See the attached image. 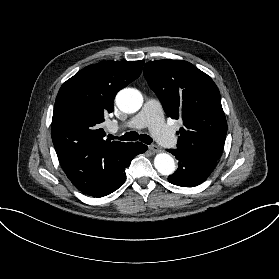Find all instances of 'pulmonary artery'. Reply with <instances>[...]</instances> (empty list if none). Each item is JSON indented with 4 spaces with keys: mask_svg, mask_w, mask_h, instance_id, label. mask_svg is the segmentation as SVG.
<instances>
[{
    "mask_svg": "<svg viewBox=\"0 0 279 279\" xmlns=\"http://www.w3.org/2000/svg\"><path fill=\"white\" fill-rule=\"evenodd\" d=\"M165 119L166 114L159 100L157 98H149L136 117L114 120L111 123V129L114 132H119L126 129L150 126L153 137L159 144L175 149L178 146V141L171 137L175 129L166 127Z\"/></svg>",
    "mask_w": 279,
    "mask_h": 279,
    "instance_id": "e3ab8cb5",
    "label": "pulmonary artery"
}]
</instances>
